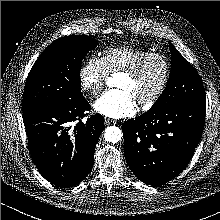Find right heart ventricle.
Listing matches in <instances>:
<instances>
[{
	"instance_id": "right-heart-ventricle-1",
	"label": "right heart ventricle",
	"mask_w": 220,
	"mask_h": 220,
	"mask_svg": "<svg viewBox=\"0 0 220 220\" xmlns=\"http://www.w3.org/2000/svg\"><path fill=\"white\" fill-rule=\"evenodd\" d=\"M149 53L150 50L132 46L110 47L103 51L102 60L108 73H117L129 68Z\"/></svg>"
}]
</instances>
